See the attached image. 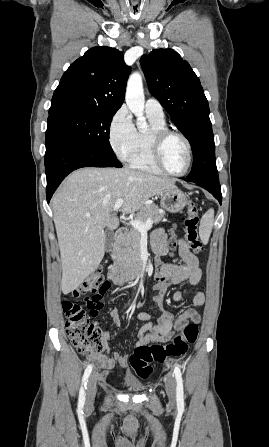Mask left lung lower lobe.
<instances>
[{
  "label": "left lung lower lobe",
  "instance_id": "1",
  "mask_svg": "<svg viewBox=\"0 0 269 447\" xmlns=\"http://www.w3.org/2000/svg\"><path fill=\"white\" fill-rule=\"evenodd\" d=\"M187 182H193L188 178L184 179ZM197 185L203 187L207 191H209L221 204L222 203V194L219 180H211V181H202V182H193Z\"/></svg>",
  "mask_w": 269,
  "mask_h": 447
}]
</instances>
